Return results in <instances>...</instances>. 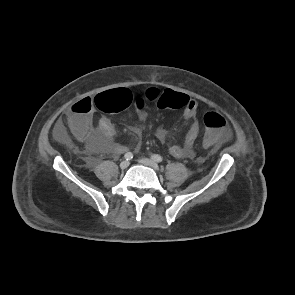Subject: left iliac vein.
Masks as SVG:
<instances>
[{
	"label": "left iliac vein",
	"mask_w": 295,
	"mask_h": 295,
	"mask_svg": "<svg viewBox=\"0 0 295 295\" xmlns=\"http://www.w3.org/2000/svg\"><path fill=\"white\" fill-rule=\"evenodd\" d=\"M138 162L140 164H142V165H145V166H148V167L154 169L155 171L159 170L158 164L156 162H154L153 160H150L148 158H141V159H139Z\"/></svg>",
	"instance_id": "left-iliac-vein-1"
}]
</instances>
